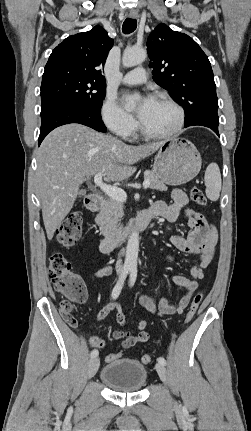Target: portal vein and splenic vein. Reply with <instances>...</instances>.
<instances>
[{
    "label": "portal vein and splenic vein",
    "mask_w": 251,
    "mask_h": 431,
    "mask_svg": "<svg viewBox=\"0 0 251 431\" xmlns=\"http://www.w3.org/2000/svg\"><path fill=\"white\" fill-rule=\"evenodd\" d=\"M102 174L98 173L94 177V183L98 186L106 195L120 202H125L127 200L126 192L116 186L108 185L102 181ZM150 185V180L145 179L143 181V187L147 189Z\"/></svg>",
    "instance_id": "18ae733b"
}]
</instances>
